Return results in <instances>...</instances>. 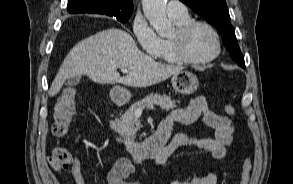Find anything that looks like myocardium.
I'll return each mask as SVG.
<instances>
[{"label": "myocardium", "instance_id": "1", "mask_svg": "<svg viewBox=\"0 0 293 184\" xmlns=\"http://www.w3.org/2000/svg\"><path fill=\"white\" fill-rule=\"evenodd\" d=\"M205 27L213 35L216 43L215 52L209 57L203 59H194L187 55L185 51V41L189 33L196 27ZM172 52L175 58L182 63L191 65H203L214 61L219 57L222 50L221 38L217 30L208 22L202 20H192L176 28L173 35L170 37Z\"/></svg>", "mask_w": 293, "mask_h": 184}]
</instances>
